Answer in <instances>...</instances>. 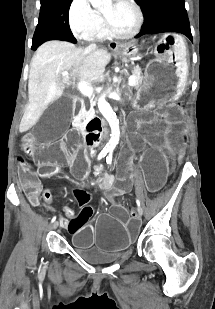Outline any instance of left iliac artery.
<instances>
[{"mask_svg": "<svg viewBox=\"0 0 215 309\" xmlns=\"http://www.w3.org/2000/svg\"><path fill=\"white\" fill-rule=\"evenodd\" d=\"M106 162L108 164H111V162H112V153H110L109 156H107ZM136 203H137L138 211H140L142 213L143 209H142V206H141V202H140V200L138 198L136 199Z\"/></svg>", "mask_w": 215, "mask_h": 309, "instance_id": "obj_1", "label": "left iliac artery"}]
</instances>
